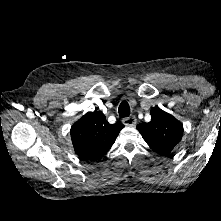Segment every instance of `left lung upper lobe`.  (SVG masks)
<instances>
[{
	"label": "left lung upper lobe",
	"instance_id": "obj_1",
	"mask_svg": "<svg viewBox=\"0 0 221 221\" xmlns=\"http://www.w3.org/2000/svg\"><path fill=\"white\" fill-rule=\"evenodd\" d=\"M150 114L151 121L138 124L137 130L155 152L166 156L182 138V123L160 108L152 109Z\"/></svg>",
	"mask_w": 221,
	"mask_h": 221
}]
</instances>
